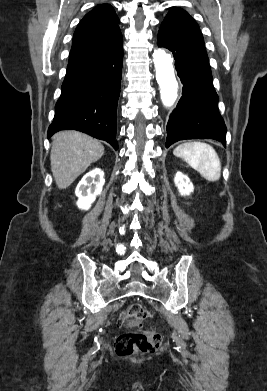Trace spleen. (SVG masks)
<instances>
[{"label":"spleen","mask_w":267,"mask_h":391,"mask_svg":"<svg viewBox=\"0 0 267 391\" xmlns=\"http://www.w3.org/2000/svg\"><path fill=\"white\" fill-rule=\"evenodd\" d=\"M173 154L189 164L207 181L215 182L221 176V162L212 146L203 142H188L177 146Z\"/></svg>","instance_id":"spleen-1"}]
</instances>
